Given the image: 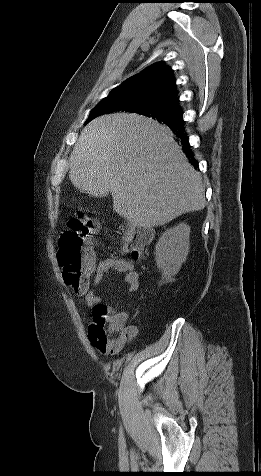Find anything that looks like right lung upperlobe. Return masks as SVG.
Segmentation results:
<instances>
[{"mask_svg": "<svg viewBox=\"0 0 261 476\" xmlns=\"http://www.w3.org/2000/svg\"><path fill=\"white\" fill-rule=\"evenodd\" d=\"M121 96L122 104L157 101L180 110L172 70L155 63L114 88L109 96Z\"/></svg>", "mask_w": 261, "mask_h": 476, "instance_id": "right-lung-upper-lobe-1", "label": "right lung upper lobe"}]
</instances>
